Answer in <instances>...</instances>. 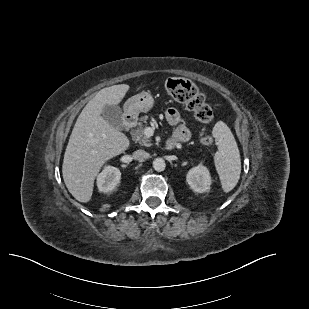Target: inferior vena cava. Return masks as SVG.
Wrapping results in <instances>:
<instances>
[{
	"instance_id": "1",
	"label": "inferior vena cava",
	"mask_w": 309,
	"mask_h": 309,
	"mask_svg": "<svg viewBox=\"0 0 309 309\" xmlns=\"http://www.w3.org/2000/svg\"><path fill=\"white\" fill-rule=\"evenodd\" d=\"M149 153H147L146 151L144 150H136L134 153H133V158L135 160H138V161H144L146 159L149 158Z\"/></svg>"
}]
</instances>
